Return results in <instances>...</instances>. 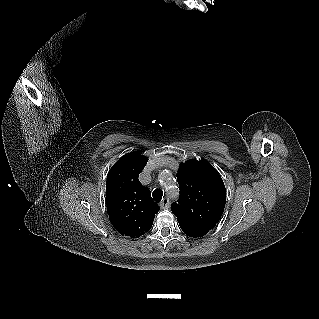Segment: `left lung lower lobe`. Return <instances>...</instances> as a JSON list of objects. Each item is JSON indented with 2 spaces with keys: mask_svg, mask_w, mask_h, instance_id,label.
<instances>
[{
  "mask_svg": "<svg viewBox=\"0 0 319 319\" xmlns=\"http://www.w3.org/2000/svg\"><path fill=\"white\" fill-rule=\"evenodd\" d=\"M179 225L182 231L190 237H201V236H204L206 233H208V231L206 230L195 229L181 223H179Z\"/></svg>",
  "mask_w": 319,
  "mask_h": 319,
  "instance_id": "0a47b994",
  "label": "left lung lower lobe"
}]
</instances>
